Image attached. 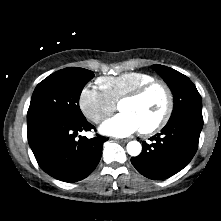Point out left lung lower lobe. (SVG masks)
Segmentation results:
<instances>
[{
    "label": "left lung lower lobe",
    "instance_id": "0a47b994",
    "mask_svg": "<svg viewBox=\"0 0 221 221\" xmlns=\"http://www.w3.org/2000/svg\"><path fill=\"white\" fill-rule=\"evenodd\" d=\"M203 117L200 112H187L169 120L153 142L143 141L142 152L131 158V163L143 176L166 179L190 163L197 149Z\"/></svg>",
    "mask_w": 221,
    "mask_h": 221
}]
</instances>
